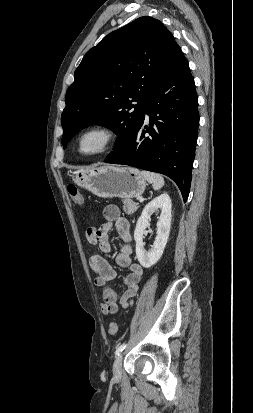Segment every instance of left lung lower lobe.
I'll use <instances>...</instances> for the list:
<instances>
[{
    "label": "left lung lower lobe",
    "mask_w": 253,
    "mask_h": 413,
    "mask_svg": "<svg viewBox=\"0 0 253 413\" xmlns=\"http://www.w3.org/2000/svg\"><path fill=\"white\" fill-rule=\"evenodd\" d=\"M145 113L150 117L149 127L143 126ZM198 125L195 83L179 49L169 72L150 96L132 140L105 162L164 174L178 185L186 202Z\"/></svg>",
    "instance_id": "obj_1"
}]
</instances>
